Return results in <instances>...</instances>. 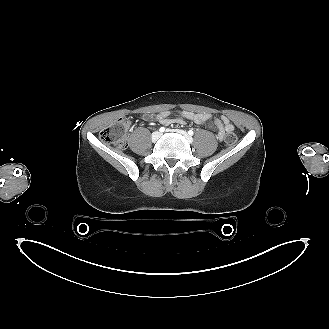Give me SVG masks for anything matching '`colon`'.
<instances>
[{
  "instance_id": "obj_1",
  "label": "colon",
  "mask_w": 329,
  "mask_h": 329,
  "mask_svg": "<svg viewBox=\"0 0 329 329\" xmlns=\"http://www.w3.org/2000/svg\"><path fill=\"white\" fill-rule=\"evenodd\" d=\"M129 121L125 118H119L114 123L104 127L100 133V139L107 144L117 147H124L127 142V128ZM237 141V136L234 133H228L225 136V144L231 146Z\"/></svg>"
}]
</instances>
